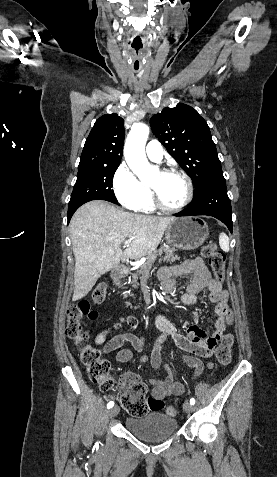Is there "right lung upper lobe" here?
<instances>
[{
    "label": "right lung upper lobe",
    "instance_id": "1",
    "mask_svg": "<svg viewBox=\"0 0 277 477\" xmlns=\"http://www.w3.org/2000/svg\"><path fill=\"white\" fill-rule=\"evenodd\" d=\"M124 134V120L117 114H105L97 119L86 139L78 170L119 165Z\"/></svg>",
    "mask_w": 277,
    "mask_h": 477
}]
</instances>
